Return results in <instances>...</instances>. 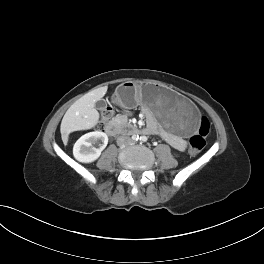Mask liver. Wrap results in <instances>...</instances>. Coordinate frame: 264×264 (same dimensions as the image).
<instances>
[{
	"label": "liver",
	"instance_id": "obj_1",
	"mask_svg": "<svg viewBox=\"0 0 264 264\" xmlns=\"http://www.w3.org/2000/svg\"><path fill=\"white\" fill-rule=\"evenodd\" d=\"M106 91L107 87L92 90L73 103L66 111L60 127L64 145H67L71 132L91 129L97 124L99 112L95 109V103L106 94Z\"/></svg>",
	"mask_w": 264,
	"mask_h": 264
}]
</instances>
